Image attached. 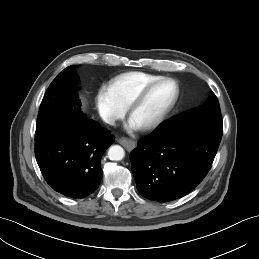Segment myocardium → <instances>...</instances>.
Wrapping results in <instances>:
<instances>
[{
  "label": "myocardium",
  "instance_id": "myocardium-1",
  "mask_svg": "<svg viewBox=\"0 0 259 259\" xmlns=\"http://www.w3.org/2000/svg\"><path fill=\"white\" fill-rule=\"evenodd\" d=\"M164 82H171L175 85L176 92L173 100L169 103V105L160 113V115L151 121L150 123L144 125L141 127L142 130L144 131H149L157 128L160 126L164 120L168 117V115L172 112V110L175 108L176 104L179 101L180 94H181V89L178 81L172 77H161L159 79H156L144 87H142L135 95L134 97L130 100L126 107V111L128 116L131 118V115L133 111L136 109L137 106L141 104V102L146 98L148 93L157 85L164 83Z\"/></svg>",
  "mask_w": 259,
  "mask_h": 259
}]
</instances>
